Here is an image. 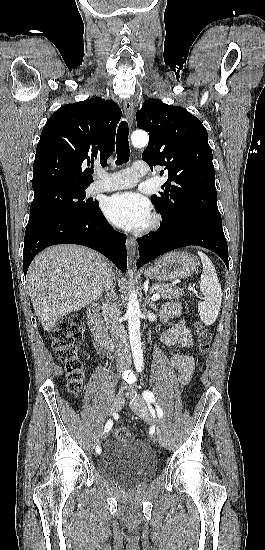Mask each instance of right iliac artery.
Masks as SVG:
<instances>
[{"label":"right iliac artery","mask_w":265,"mask_h":550,"mask_svg":"<svg viewBox=\"0 0 265 550\" xmlns=\"http://www.w3.org/2000/svg\"><path fill=\"white\" fill-rule=\"evenodd\" d=\"M112 425H113L112 420H108V422L105 424V427H104V433L108 432L112 428ZM96 452L98 454L101 453V448L99 445L96 447Z\"/></svg>","instance_id":"obj_1"}]
</instances>
